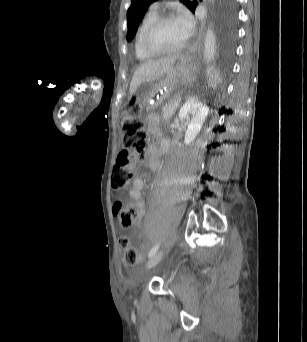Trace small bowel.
Returning a JSON list of instances; mask_svg holds the SVG:
<instances>
[{
	"mask_svg": "<svg viewBox=\"0 0 307 342\" xmlns=\"http://www.w3.org/2000/svg\"><path fill=\"white\" fill-rule=\"evenodd\" d=\"M153 130V128H151ZM170 147L168 140L162 138L160 141V148L150 146L147 151V164L149 169L156 170L160 166L159 156L161 152L167 151ZM144 187V181L142 178L136 177L132 181V186L129 190V196L132 200V204L136 209V218L133 222L134 226H139L145 214V204L142 198V190Z\"/></svg>",
	"mask_w": 307,
	"mask_h": 342,
	"instance_id": "small-bowel-1",
	"label": "small bowel"
}]
</instances>
